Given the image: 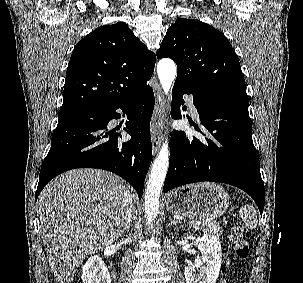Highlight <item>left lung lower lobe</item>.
<instances>
[{
    "instance_id": "1",
    "label": "left lung lower lobe",
    "mask_w": 303,
    "mask_h": 283,
    "mask_svg": "<svg viewBox=\"0 0 303 283\" xmlns=\"http://www.w3.org/2000/svg\"><path fill=\"white\" fill-rule=\"evenodd\" d=\"M183 94H192L200 121L198 131L205 136L188 138L183 131H173L170 163L163 191L201 181L222 182L248 193L262 215L264 184L259 157L252 141L248 102L240 99L197 93L175 82L172 117L182 118Z\"/></svg>"
}]
</instances>
